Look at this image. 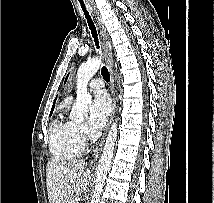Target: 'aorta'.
I'll list each match as a JSON object with an SVG mask.
<instances>
[{"instance_id": "obj_1", "label": "aorta", "mask_w": 214, "mask_h": 203, "mask_svg": "<svg viewBox=\"0 0 214 203\" xmlns=\"http://www.w3.org/2000/svg\"><path fill=\"white\" fill-rule=\"evenodd\" d=\"M100 58H93L80 65L77 72V98L76 104L70 113V118L76 122L82 121L88 112V104L91 102V95L88 93L87 85L101 66ZM117 138V123L114 122L106 138L103 153L99 159L96 170V184L91 203H99L100 195L105 185L107 174L110 170Z\"/></svg>"}]
</instances>
